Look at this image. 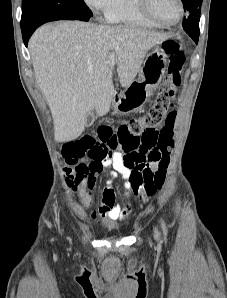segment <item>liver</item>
<instances>
[{
  "instance_id": "6515ba94",
  "label": "liver",
  "mask_w": 227,
  "mask_h": 298,
  "mask_svg": "<svg viewBox=\"0 0 227 298\" xmlns=\"http://www.w3.org/2000/svg\"><path fill=\"white\" fill-rule=\"evenodd\" d=\"M170 37L168 33L131 26L64 21L39 27L29 41L34 75L50 107L58 142L75 140L84 131L87 114L110 110L115 89L114 66L122 87L139 72L148 50Z\"/></svg>"
}]
</instances>
